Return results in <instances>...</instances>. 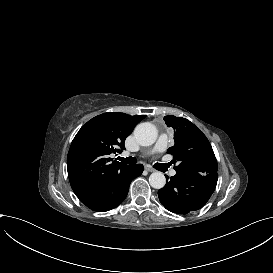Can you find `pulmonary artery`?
<instances>
[{"label": "pulmonary artery", "instance_id": "pulmonary-artery-1", "mask_svg": "<svg viewBox=\"0 0 273 273\" xmlns=\"http://www.w3.org/2000/svg\"><path fill=\"white\" fill-rule=\"evenodd\" d=\"M170 139V136L168 134H165L163 136V138H160L158 140V143L155 145V147H153L151 150L149 151H143V152H139L137 154V157L139 159H143V158H149L154 156L155 154H157L158 152H162L168 145V141Z\"/></svg>", "mask_w": 273, "mask_h": 273}]
</instances>
